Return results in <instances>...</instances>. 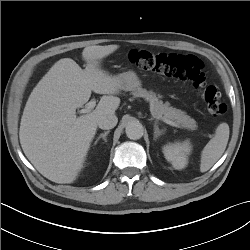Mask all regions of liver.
<instances>
[{
    "mask_svg": "<svg viewBox=\"0 0 250 250\" xmlns=\"http://www.w3.org/2000/svg\"><path fill=\"white\" fill-rule=\"evenodd\" d=\"M119 45L83 49V70L71 58L57 61L31 92L21 118L19 139L24 154L47 179L60 184L76 180L101 116L119 107V80L100 68ZM103 94L95 110L76 116L91 92Z\"/></svg>",
    "mask_w": 250,
    "mask_h": 250,
    "instance_id": "liver-1",
    "label": "liver"
}]
</instances>
